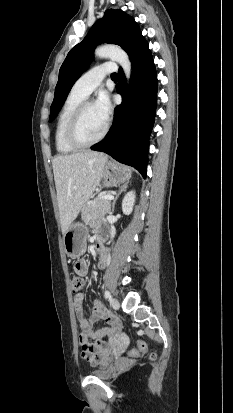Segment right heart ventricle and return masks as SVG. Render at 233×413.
<instances>
[{
  "label": "right heart ventricle",
  "instance_id": "1",
  "mask_svg": "<svg viewBox=\"0 0 233 413\" xmlns=\"http://www.w3.org/2000/svg\"><path fill=\"white\" fill-rule=\"evenodd\" d=\"M85 99L86 96L72 89L61 107L55 129L56 149L60 153H71L76 150L75 147L68 143L65 132L67 124L73 112L75 111L77 106Z\"/></svg>",
  "mask_w": 233,
  "mask_h": 413
}]
</instances>
